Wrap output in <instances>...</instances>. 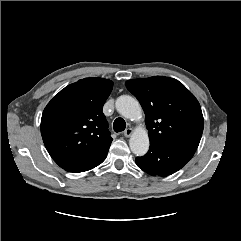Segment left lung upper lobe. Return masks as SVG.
I'll use <instances>...</instances> for the list:
<instances>
[{"instance_id":"1","label":"left lung upper lobe","mask_w":241,"mask_h":241,"mask_svg":"<svg viewBox=\"0 0 241 241\" xmlns=\"http://www.w3.org/2000/svg\"><path fill=\"white\" fill-rule=\"evenodd\" d=\"M126 87L145 112L150 140L198 147L204 127L201 107L181 82L154 76L128 80Z\"/></svg>"}]
</instances>
